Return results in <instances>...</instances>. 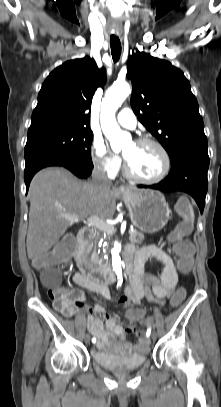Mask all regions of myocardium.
<instances>
[{"instance_id":"myocardium-1","label":"myocardium","mask_w":221,"mask_h":407,"mask_svg":"<svg viewBox=\"0 0 221 407\" xmlns=\"http://www.w3.org/2000/svg\"><path fill=\"white\" fill-rule=\"evenodd\" d=\"M136 144L138 145H153L156 148H158L160 150V152L162 153L163 157H164V161H165V167L163 172L156 178H145L142 177L140 175H138L133 168L131 167L129 161L127 160V158L124 156V170L126 175L135 180L138 181L140 183H144V184H157L161 181H163L164 179L167 178V176L169 175L170 171H171V167H172V160H171V156L170 153L168 152V150L166 149V147L160 143L159 141L152 139V138H148V137H142L139 138L135 141Z\"/></svg>"}]
</instances>
